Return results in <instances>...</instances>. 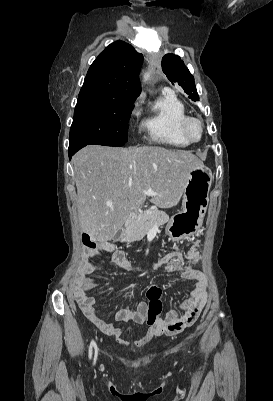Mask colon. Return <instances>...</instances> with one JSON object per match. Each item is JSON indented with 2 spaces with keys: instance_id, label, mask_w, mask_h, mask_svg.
Listing matches in <instances>:
<instances>
[{
  "instance_id": "colon-1",
  "label": "colon",
  "mask_w": 273,
  "mask_h": 401,
  "mask_svg": "<svg viewBox=\"0 0 273 401\" xmlns=\"http://www.w3.org/2000/svg\"><path fill=\"white\" fill-rule=\"evenodd\" d=\"M88 257H95V250L87 251ZM92 264L90 261H83L81 267L78 269L79 278H73L71 284L73 287V297H95L98 286L95 284H87L88 276L92 274ZM146 295L149 298V306L146 311V324L148 326H154L157 321L162 317L163 314V302H162V288L158 285H152L147 288Z\"/></svg>"
}]
</instances>
